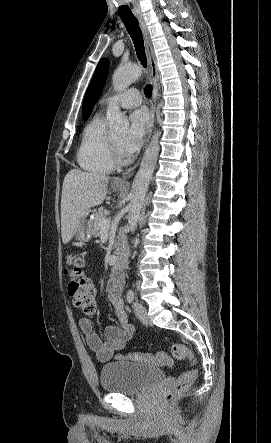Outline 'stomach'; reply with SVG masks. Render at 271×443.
I'll return each instance as SVG.
<instances>
[{
  "label": "stomach",
  "mask_w": 271,
  "mask_h": 443,
  "mask_svg": "<svg viewBox=\"0 0 271 443\" xmlns=\"http://www.w3.org/2000/svg\"><path fill=\"white\" fill-rule=\"evenodd\" d=\"M112 188L114 192H120V190H123V188H115V186H112ZM91 222L92 218H90V214H85L75 233V237L78 241H89V239H91L93 235V225Z\"/></svg>",
  "instance_id": "stomach-1"
}]
</instances>
